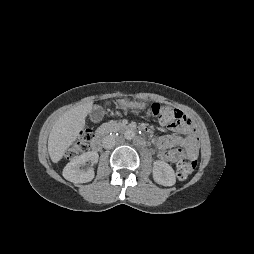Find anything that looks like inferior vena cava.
<instances>
[{
  "mask_svg": "<svg viewBox=\"0 0 254 254\" xmlns=\"http://www.w3.org/2000/svg\"><path fill=\"white\" fill-rule=\"evenodd\" d=\"M115 142H116L115 136H106L102 141L103 147L105 149L113 148L115 146Z\"/></svg>",
  "mask_w": 254,
  "mask_h": 254,
  "instance_id": "inferior-vena-cava-1",
  "label": "inferior vena cava"
}]
</instances>
